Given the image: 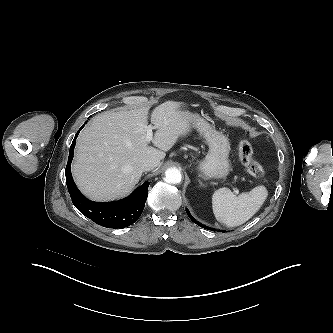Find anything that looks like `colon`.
Listing matches in <instances>:
<instances>
[{"mask_svg": "<svg viewBox=\"0 0 333 333\" xmlns=\"http://www.w3.org/2000/svg\"><path fill=\"white\" fill-rule=\"evenodd\" d=\"M239 158L246 171L254 178H262L265 174L263 166L254 159L253 147L248 140H241L238 145Z\"/></svg>", "mask_w": 333, "mask_h": 333, "instance_id": "5ec220e1", "label": "colon"}]
</instances>
